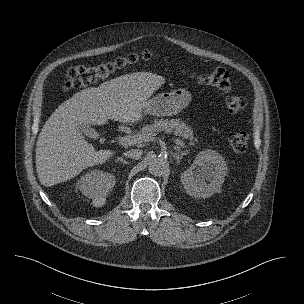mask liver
<instances>
[{
    "label": "liver",
    "instance_id": "obj_1",
    "mask_svg": "<svg viewBox=\"0 0 304 304\" xmlns=\"http://www.w3.org/2000/svg\"><path fill=\"white\" fill-rule=\"evenodd\" d=\"M164 83L163 76L135 72L84 89L64 101L37 139L35 163L40 183L54 186L109 159L112 151H95L84 139L85 127L104 125L109 119L135 123L142 118L145 102Z\"/></svg>",
    "mask_w": 304,
    "mask_h": 304
}]
</instances>
